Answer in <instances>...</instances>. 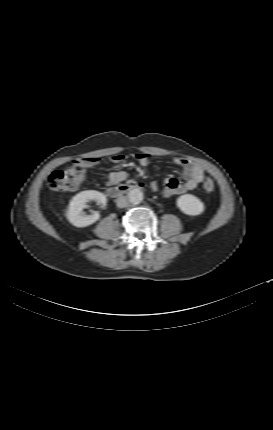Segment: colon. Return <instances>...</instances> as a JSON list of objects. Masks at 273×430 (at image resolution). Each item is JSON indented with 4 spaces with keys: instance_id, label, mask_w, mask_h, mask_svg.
Wrapping results in <instances>:
<instances>
[{
    "instance_id": "colon-1",
    "label": "colon",
    "mask_w": 273,
    "mask_h": 430,
    "mask_svg": "<svg viewBox=\"0 0 273 430\" xmlns=\"http://www.w3.org/2000/svg\"><path fill=\"white\" fill-rule=\"evenodd\" d=\"M85 170L79 160L66 169L56 170L51 173L48 178V186L54 192H70L78 188L83 182L85 177ZM204 191L210 193L215 190V183L212 179L208 178L203 183Z\"/></svg>"
}]
</instances>
